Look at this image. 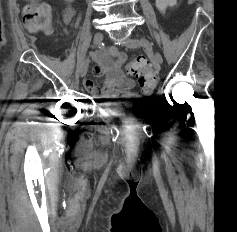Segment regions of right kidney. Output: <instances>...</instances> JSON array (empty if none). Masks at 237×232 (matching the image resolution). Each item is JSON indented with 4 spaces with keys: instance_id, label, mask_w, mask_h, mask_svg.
<instances>
[{
    "instance_id": "1",
    "label": "right kidney",
    "mask_w": 237,
    "mask_h": 232,
    "mask_svg": "<svg viewBox=\"0 0 237 232\" xmlns=\"http://www.w3.org/2000/svg\"><path fill=\"white\" fill-rule=\"evenodd\" d=\"M66 2H73L74 0H65Z\"/></svg>"
}]
</instances>
